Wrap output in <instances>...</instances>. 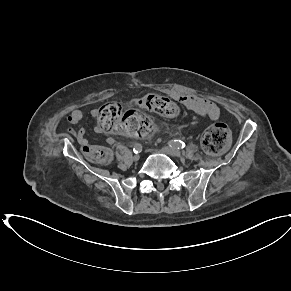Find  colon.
Segmentation results:
<instances>
[{
	"mask_svg": "<svg viewBox=\"0 0 291 291\" xmlns=\"http://www.w3.org/2000/svg\"><path fill=\"white\" fill-rule=\"evenodd\" d=\"M143 110L171 117L178 113L177 105L169 98L155 93H148L137 100ZM99 130L109 133H127L143 138L151 131L150 118L135 109L123 111L117 102L103 105L98 112ZM231 132L224 123H215L203 134L201 142L206 152L217 155L224 152L230 145ZM83 153L98 163H107L111 159V151L103 146L85 145Z\"/></svg>",
	"mask_w": 291,
	"mask_h": 291,
	"instance_id": "colon-1",
	"label": "colon"
}]
</instances>
